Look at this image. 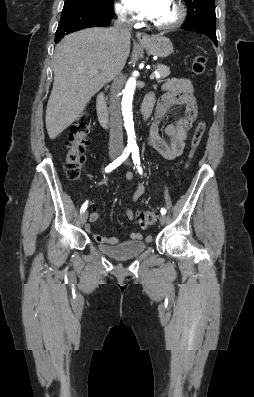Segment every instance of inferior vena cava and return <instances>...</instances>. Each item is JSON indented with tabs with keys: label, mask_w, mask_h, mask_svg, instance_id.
<instances>
[{
	"label": "inferior vena cava",
	"mask_w": 254,
	"mask_h": 397,
	"mask_svg": "<svg viewBox=\"0 0 254 397\" xmlns=\"http://www.w3.org/2000/svg\"><path fill=\"white\" fill-rule=\"evenodd\" d=\"M131 20H128L124 14H119L118 19L114 22L112 28V37L118 43L126 42L130 39ZM112 85L110 92L109 110H110V138L109 148L122 150L123 148V130L120 112V101L117 97L122 86L121 69L115 70L112 76Z\"/></svg>",
	"instance_id": "602c4592"
}]
</instances>
